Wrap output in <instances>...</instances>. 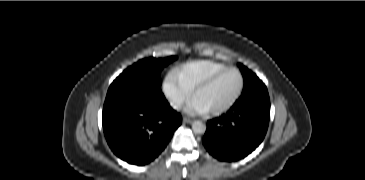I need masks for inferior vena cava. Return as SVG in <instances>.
I'll use <instances>...</instances> for the list:
<instances>
[{
  "label": "inferior vena cava",
  "instance_id": "602c4592",
  "mask_svg": "<svg viewBox=\"0 0 365 180\" xmlns=\"http://www.w3.org/2000/svg\"><path fill=\"white\" fill-rule=\"evenodd\" d=\"M183 104V99L180 97L174 98L170 100V105L171 107H173L174 109H180L181 106Z\"/></svg>",
  "mask_w": 365,
  "mask_h": 180
}]
</instances>
